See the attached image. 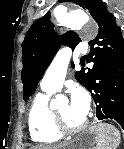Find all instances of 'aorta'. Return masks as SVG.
<instances>
[{
  "instance_id": "obj_1",
  "label": "aorta",
  "mask_w": 124,
  "mask_h": 149,
  "mask_svg": "<svg viewBox=\"0 0 124 149\" xmlns=\"http://www.w3.org/2000/svg\"><path fill=\"white\" fill-rule=\"evenodd\" d=\"M57 20L61 26L79 30L89 23L90 18L83 10H75L64 15L58 14Z\"/></svg>"
}]
</instances>
